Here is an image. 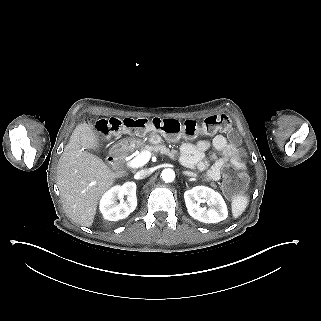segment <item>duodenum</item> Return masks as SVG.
Here are the masks:
<instances>
[{"label": "duodenum", "mask_w": 321, "mask_h": 321, "mask_svg": "<svg viewBox=\"0 0 321 321\" xmlns=\"http://www.w3.org/2000/svg\"><path fill=\"white\" fill-rule=\"evenodd\" d=\"M124 152H125V149L121 145H117L113 147L108 157L109 163L113 165L118 164L122 159Z\"/></svg>", "instance_id": "obj_1"}]
</instances>
